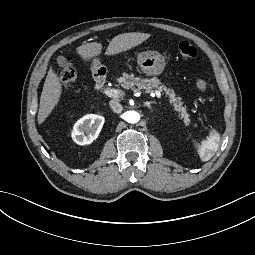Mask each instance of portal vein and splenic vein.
<instances>
[{
	"instance_id": "portal-vein-and-splenic-vein-1",
	"label": "portal vein and splenic vein",
	"mask_w": 255,
	"mask_h": 255,
	"mask_svg": "<svg viewBox=\"0 0 255 255\" xmlns=\"http://www.w3.org/2000/svg\"><path fill=\"white\" fill-rule=\"evenodd\" d=\"M104 93L108 97H113V98H118L120 95H123V92L121 90H118V89H109V88L104 90ZM150 95L152 97L156 96V97L160 98L161 97V92L159 90H155V92L151 93Z\"/></svg>"
}]
</instances>
